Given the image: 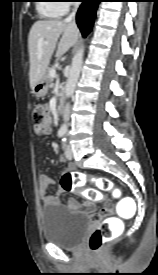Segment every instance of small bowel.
Masks as SVG:
<instances>
[{"label": "small bowel", "mask_w": 158, "mask_h": 275, "mask_svg": "<svg viewBox=\"0 0 158 275\" xmlns=\"http://www.w3.org/2000/svg\"><path fill=\"white\" fill-rule=\"evenodd\" d=\"M50 131H51V121H50V126H49L48 129H46L42 133H39V132H37V133L38 134H47ZM60 161L64 162L65 158L61 157ZM74 168H75V166L71 164V165L68 166L67 171L70 172ZM55 184H56V181L53 178H51V177H49L45 174H41L38 178L39 195H40V198H41L42 202L45 205H51V204H58L59 203V198L56 195L50 194V192H49V187L51 185H55ZM61 191H63V190L61 189V186H59L58 187V192H61ZM93 201L94 200L90 199V201H86L84 203H79L75 198H69L66 201V204L72 210L80 211V212L87 213V214H91L92 216L97 217L98 213L95 212V206H94Z\"/></svg>", "instance_id": "1"}]
</instances>
